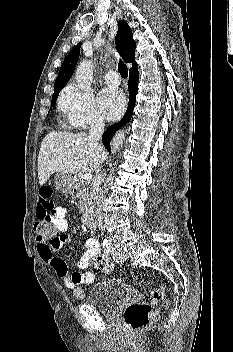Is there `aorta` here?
I'll list each match as a JSON object with an SVG mask.
<instances>
[{
    "label": "aorta",
    "instance_id": "aorta-1",
    "mask_svg": "<svg viewBox=\"0 0 233 352\" xmlns=\"http://www.w3.org/2000/svg\"><path fill=\"white\" fill-rule=\"evenodd\" d=\"M93 68L94 64L92 60H83L76 69L75 79L78 87L81 90H88L91 87L93 79ZM125 139L124 131H118L112 141H111V150L112 153L119 151L123 145Z\"/></svg>",
    "mask_w": 233,
    "mask_h": 352
}]
</instances>
